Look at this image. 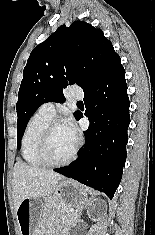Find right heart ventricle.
<instances>
[{"label":"right heart ventricle","instance_id":"obj_1","mask_svg":"<svg viewBox=\"0 0 155 235\" xmlns=\"http://www.w3.org/2000/svg\"><path fill=\"white\" fill-rule=\"evenodd\" d=\"M52 119L40 110L35 112L28 120L21 138V155L23 160L33 167L43 165L37 154V147L41 133L46 124Z\"/></svg>","mask_w":155,"mask_h":235}]
</instances>
